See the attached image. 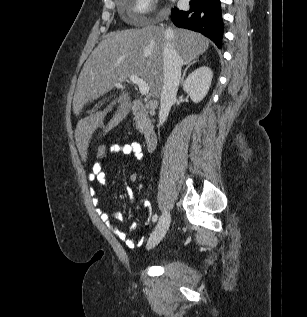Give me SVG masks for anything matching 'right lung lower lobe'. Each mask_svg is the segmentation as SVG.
Instances as JSON below:
<instances>
[{"label": "right lung lower lobe", "instance_id": "98d812e1", "mask_svg": "<svg viewBox=\"0 0 307 317\" xmlns=\"http://www.w3.org/2000/svg\"><path fill=\"white\" fill-rule=\"evenodd\" d=\"M171 19L177 27L200 32L221 48L223 21L220 0H191L187 11L174 8Z\"/></svg>", "mask_w": 307, "mask_h": 317}]
</instances>
